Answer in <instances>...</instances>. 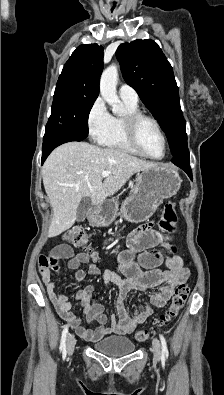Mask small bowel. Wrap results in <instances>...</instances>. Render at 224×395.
Listing matches in <instances>:
<instances>
[{
    "mask_svg": "<svg viewBox=\"0 0 224 395\" xmlns=\"http://www.w3.org/2000/svg\"><path fill=\"white\" fill-rule=\"evenodd\" d=\"M160 235L150 224H144L135 229L127 240V249L118 256V266L123 277L112 271L101 272L90 263L86 253L74 254L73 249L66 244H59L52 250L57 259H67V267L75 271V280L81 282L86 273L81 269L82 264H88V273L99 276L105 284L114 283L119 288L116 302V314L108 318L103 313L104 305L93 298L95 286L90 284L76 292V300L80 303L88 322H97L95 329L81 325V320L71 312L69 297L55 292V283L51 278V271H41L42 281L47 294L60 317L68 322L83 339L97 342L106 336L127 335L136 326L144 322L155 309L162 308L171 298L175 287L186 282L189 271L184 267L183 259L179 255L163 259L159 252L151 250ZM164 262L166 269L158 266ZM142 268L146 269L143 271ZM157 288L149 295V303L135 308L132 312L126 308L124 301L131 291H145Z\"/></svg>",
    "mask_w": 224,
    "mask_h": 395,
    "instance_id": "1",
    "label": "small bowel"
}]
</instances>
